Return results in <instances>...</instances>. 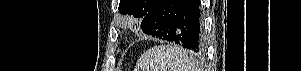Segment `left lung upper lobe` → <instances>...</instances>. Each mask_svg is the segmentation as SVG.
<instances>
[{
	"label": "left lung upper lobe",
	"instance_id": "left-lung-upper-lobe-1",
	"mask_svg": "<svg viewBox=\"0 0 301 71\" xmlns=\"http://www.w3.org/2000/svg\"><path fill=\"white\" fill-rule=\"evenodd\" d=\"M158 0H120L119 12L144 18Z\"/></svg>",
	"mask_w": 301,
	"mask_h": 71
}]
</instances>
